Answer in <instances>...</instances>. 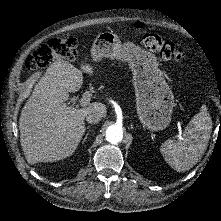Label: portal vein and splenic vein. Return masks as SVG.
<instances>
[{
	"instance_id": "1",
	"label": "portal vein and splenic vein",
	"mask_w": 221,
	"mask_h": 221,
	"mask_svg": "<svg viewBox=\"0 0 221 221\" xmlns=\"http://www.w3.org/2000/svg\"><path fill=\"white\" fill-rule=\"evenodd\" d=\"M90 99V97H88L87 95H82L81 98L79 99L78 103H74V104H69V103H63L62 107L63 108H67L68 110H77L79 107L82 108H86L88 106V100ZM173 138H179L180 134L178 133H173Z\"/></svg>"
}]
</instances>
